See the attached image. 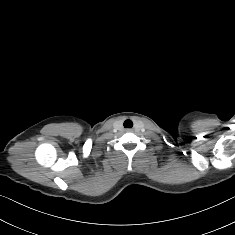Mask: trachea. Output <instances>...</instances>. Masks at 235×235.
Returning a JSON list of instances; mask_svg holds the SVG:
<instances>
[{
    "instance_id": "3493384b",
    "label": "trachea",
    "mask_w": 235,
    "mask_h": 235,
    "mask_svg": "<svg viewBox=\"0 0 235 235\" xmlns=\"http://www.w3.org/2000/svg\"><path fill=\"white\" fill-rule=\"evenodd\" d=\"M133 126V122L131 120H126L124 122V127L125 128H131Z\"/></svg>"
}]
</instances>
